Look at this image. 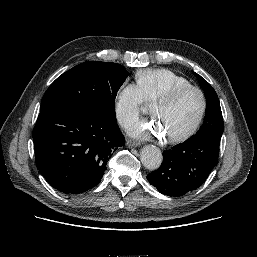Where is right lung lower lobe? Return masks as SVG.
Returning a JSON list of instances; mask_svg holds the SVG:
<instances>
[{
	"instance_id": "right-lung-lower-lobe-1",
	"label": "right lung lower lobe",
	"mask_w": 257,
	"mask_h": 257,
	"mask_svg": "<svg viewBox=\"0 0 257 257\" xmlns=\"http://www.w3.org/2000/svg\"><path fill=\"white\" fill-rule=\"evenodd\" d=\"M116 116L76 105L40 112L33 130L36 165L63 193H83L103 177L107 161L124 145Z\"/></svg>"
}]
</instances>
